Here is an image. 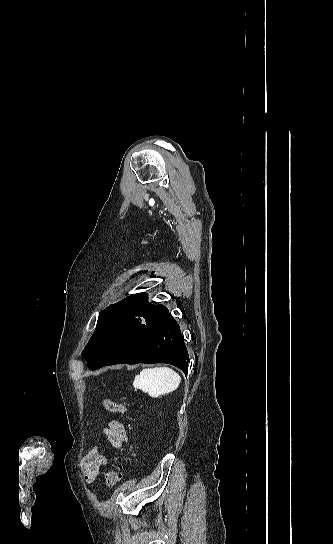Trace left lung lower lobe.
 I'll use <instances>...</instances> for the list:
<instances>
[{
  "label": "left lung lower lobe",
  "mask_w": 333,
  "mask_h": 544,
  "mask_svg": "<svg viewBox=\"0 0 333 544\" xmlns=\"http://www.w3.org/2000/svg\"><path fill=\"white\" fill-rule=\"evenodd\" d=\"M103 360L95 368L114 364L168 363L187 374L189 355L180 326L170 313L150 326L136 324L125 348H105Z\"/></svg>",
  "instance_id": "obj_1"
}]
</instances>
